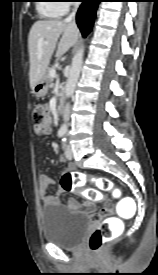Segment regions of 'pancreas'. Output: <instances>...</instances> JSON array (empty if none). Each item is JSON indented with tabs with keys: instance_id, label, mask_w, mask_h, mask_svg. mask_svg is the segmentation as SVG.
<instances>
[{
	"instance_id": "obj_1",
	"label": "pancreas",
	"mask_w": 158,
	"mask_h": 275,
	"mask_svg": "<svg viewBox=\"0 0 158 275\" xmlns=\"http://www.w3.org/2000/svg\"><path fill=\"white\" fill-rule=\"evenodd\" d=\"M52 69H54V67L48 68L47 73H46L49 82H51V81L53 80V78H52L51 75H50V71H51Z\"/></svg>"
}]
</instances>
